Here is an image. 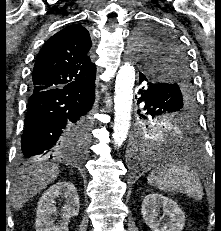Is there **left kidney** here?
<instances>
[{"label":"left kidney","instance_id":"5707ae66","mask_svg":"<svg viewBox=\"0 0 221 231\" xmlns=\"http://www.w3.org/2000/svg\"><path fill=\"white\" fill-rule=\"evenodd\" d=\"M160 209L163 211L161 217L158 216ZM141 213L144 222L152 231H182L185 226V215L178 204L158 193L145 196Z\"/></svg>","mask_w":221,"mask_h":231}]
</instances>
